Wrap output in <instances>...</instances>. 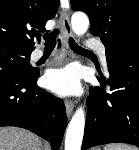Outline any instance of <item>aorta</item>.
<instances>
[{"label":"aorta","mask_w":139,"mask_h":150,"mask_svg":"<svg viewBox=\"0 0 139 150\" xmlns=\"http://www.w3.org/2000/svg\"><path fill=\"white\" fill-rule=\"evenodd\" d=\"M71 25L74 33L83 35L89 27V18L83 12H75L71 17ZM85 128V112L78 108L71 118L65 138V150H81Z\"/></svg>","instance_id":"obj_1"}]
</instances>
